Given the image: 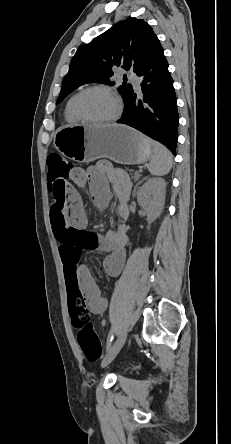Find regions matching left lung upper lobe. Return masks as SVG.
Here are the masks:
<instances>
[{
	"label": "left lung upper lobe",
	"mask_w": 231,
	"mask_h": 444,
	"mask_svg": "<svg viewBox=\"0 0 231 444\" xmlns=\"http://www.w3.org/2000/svg\"><path fill=\"white\" fill-rule=\"evenodd\" d=\"M162 48L150 25L142 19L129 18L78 48L64 77L56 104L77 87L89 83H108L112 68L118 66L137 73ZM126 79V76H124ZM118 91L123 99L132 86L123 84Z\"/></svg>",
	"instance_id": "left-lung-upper-lobe-1"
}]
</instances>
